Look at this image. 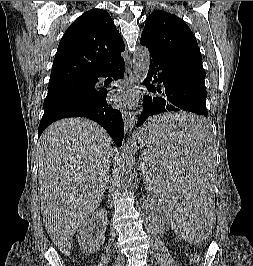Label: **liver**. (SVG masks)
<instances>
[{"instance_id":"1","label":"liver","mask_w":253,"mask_h":266,"mask_svg":"<svg viewBox=\"0 0 253 266\" xmlns=\"http://www.w3.org/2000/svg\"><path fill=\"white\" fill-rule=\"evenodd\" d=\"M115 153L106 131L89 119H62L41 135V213L47 233L64 254L70 253L76 230L99 206Z\"/></svg>"}]
</instances>
